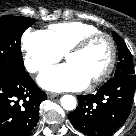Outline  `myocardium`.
Wrapping results in <instances>:
<instances>
[{
    "mask_svg": "<svg viewBox=\"0 0 136 136\" xmlns=\"http://www.w3.org/2000/svg\"><path fill=\"white\" fill-rule=\"evenodd\" d=\"M102 37L109 41L111 57L106 69L99 76L89 82L92 86L98 85L107 80L115 68L117 62V45L114 38L109 33L99 31L83 37L65 53L66 58L70 55L81 53L86 50L94 41Z\"/></svg>",
    "mask_w": 136,
    "mask_h": 136,
    "instance_id": "f54148a6",
    "label": "myocardium"
}]
</instances>
